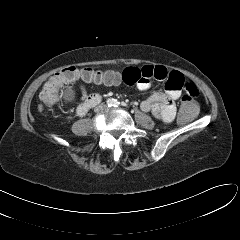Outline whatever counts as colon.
Listing matches in <instances>:
<instances>
[{"label": "colon", "mask_w": 240, "mask_h": 240, "mask_svg": "<svg viewBox=\"0 0 240 240\" xmlns=\"http://www.w3.org/2000/svg\"><path fill=\"white\" fill-rule=\"evenodd\" d=\"M104 74L91 68L78 69L76 67L65 68L52 76L43 86L40 97L48 107L58 102V87L66 82L83 80L88 83L95 82ZM197 105L191 96L185 95L181 100L179 120L189 122L197 115Z\"/></svg>", "instance_id": "colon-1"}]
</instances>
